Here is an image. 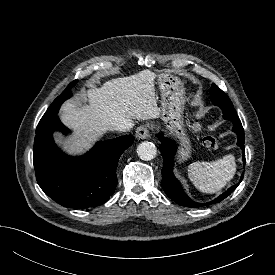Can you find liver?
<instances>
[{
    "mask_svg": "<svg viewBox=\"0 0 275 275\" xmlns=\"http://www.w3.org/2000/svg\"><path fill=\"white\" fill-rule=\"evenodd\" d=\"M155 74L143 70L137 74L106 81L102 87L87 91V104L65 102L60 110L61 121L73 136L63 141L71 154L83 153L108 130L124 121L147 120L160 117L155 97Z\"/></svg>",
    "mask_w": 275,
    "mask_h": 275,
    "instance_id": "obj_1",
    "label": "liver"
}]
</instances>
